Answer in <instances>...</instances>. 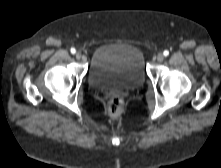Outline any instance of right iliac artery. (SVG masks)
I'll use <instances>...</instances> for the list:
<instances>
[{
  "label": "right iliac artery",
  "instance_id": "1",
  "mask_svg": "<svg viewBox=\"0 0 221 168\" xmlns=\"http://www.w3.org/2000/svg\"><path fill=\"white\" fill-rule=\"evenodd\" d=\"M70 51H71L72 54H75V52H76L75 48H71Z\"/></svg>",
  "mask_w": 221,
  "mask_h": 168
}]
</instances>
